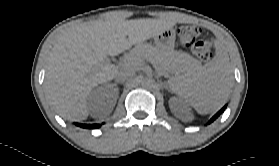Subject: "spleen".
<instances>
[{
    "instance_id": "3e777b00",
    "label": "spleen",
    "mask_w": 279,
    "mask_h": 166,
    "mask_svg": "<svg viewBox=\"0 0 279 166\" xmlns=\"http://www.w3.org/2000/svg\"><path fill=\"white\" fill-rule=\"evenodd\" d=\"M216 56L197 72L171 78L169 89L200 114L221 107L228 99L233 82L232 67L224 48L216 43Z\"/></svg>"
}]
</instances>
